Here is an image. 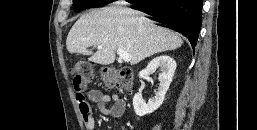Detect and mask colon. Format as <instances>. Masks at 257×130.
Segmentation results:
<instances>
[{
    "instance_id": "1",
    "label": "colon",
    "mask_w": 257,
    "mask_h": 130,
    "mask_svg": "<svg viewBox=\"0 0 257 130\" xmlns=\"http://www.w3.org/2000/svg\"><path fill=\"white\" fill-rule=\"evenodd\" d=\"M73 85L77 96L83 99V90L94 79L92 66L87 62H77L71 68ZM101 79L106 90L128 93L133 85V73L128 68L106 67L101 71Z\"/></svg>"
}]
</instances>
